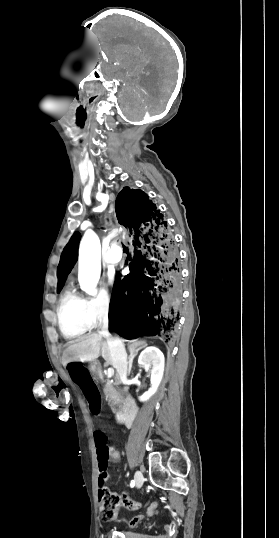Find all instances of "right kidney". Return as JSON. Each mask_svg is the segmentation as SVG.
<instances>
[{"label": "right kidney", "mask_w": 279, "mask_h": 538, "mask_svg": "<svg viewBox=\"0 0 279 538\" xmlns=\"http://www.w3.org/2000/svg\"><path fill=\"white\" fill-rule=\"evenodd\" d=\"M138 364L140 368H144L145 372H151L152 386L144 396H139L140 402H146V400H149V398L157 392V388L163 378L164 356L158 348L149 346V348H145V350L141 352L138 358ZM150 368H152V370H150Z\"/></svg>", "instance_id": "right-kidney-1"}]
</instances>
